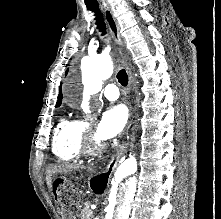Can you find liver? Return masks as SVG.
I'll list each match as a JSON object with an SVG mask.
<instances>
[{"instance_id": "1", "label": "liver", "mask_w": 221, "mask_h": 219, "mask_svg": "<svg viewBox=\"0 0 221 219\" xmlns=\"http://www.w3.org/2000/svg\"><path fill=\"white\" fill-rule=\"evenodd\" d=\"M79 168H84V167H81L79 165H74V164H62V165H59V166H50L47 169V175H46V180H47L48 187L49 188L52 187L51 177H52L53 174L66 173V172H69V171L78 170Z\"/></svg>"}]
</instances>
